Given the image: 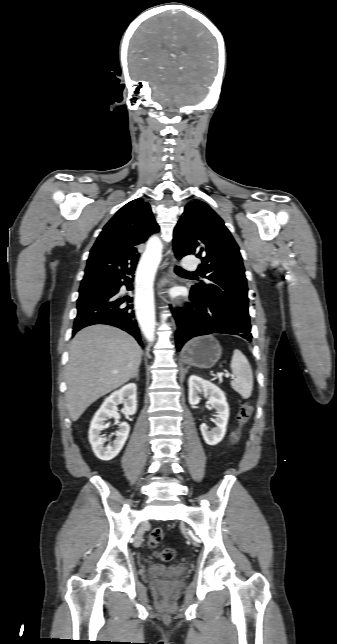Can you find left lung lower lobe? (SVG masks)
Segmentation results:
<instances>
[{
    "instance_id": "obj_1",
    "label": "left lung lower lobe",
    "mask_w": 337,
    "mask_h": 644,
    "mask_svg": "<svg viewBox=\"0 0 337 644\" xmlns=\"http://www.w3.org/2000/svg\"><path fill=\"white\" fill-rule=\"evenodd\" d=\"M190 299L192 303L174 310L178 351L189 339L212 333L238 335L249 342L252 340L250 322L232 309L215 301L203 302L192 293Z\"/></svg>"
}]
</instances>
